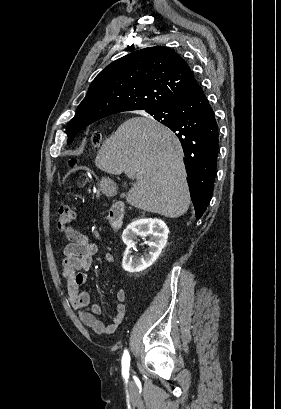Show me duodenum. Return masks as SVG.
<instances>
[{"mask_svg": "<svg viewBox=\"0 0 281 409\" xmlns=\"http://www.w3.org/2000/svg\"><path fill=\"white\" fill-rule=\"evenodd\" d=\"M125 205L121 201L112 204L108 213V220L112 228L119 230L123 225Z\"/></svg>", "mask_w": 281, "mask_h": 409, "instance_id": "obj_1", "label": "duodenum"}]
</instances>
